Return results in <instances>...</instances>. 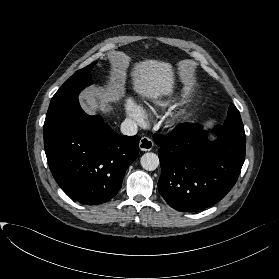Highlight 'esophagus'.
<instances>
[{"label": "esophagus", "mask_w": 279, "mask_h": 279, "mask_svg": "<svg viewBox=\"0 0 279 279\" xmlns=\"http://www.w3.org/2000/svg\"><path fill=\"white\" fill-rule=\"evenodd\" d=\"M154 146L153 141L148 137H142L139 142V148L142 151H150Z\"/></svg>", "instance_id": "obj_1"}]
</instances>
